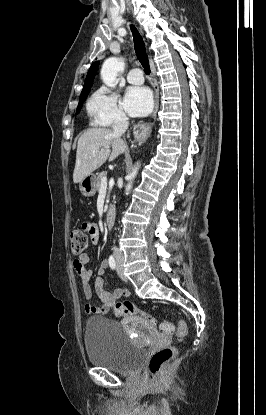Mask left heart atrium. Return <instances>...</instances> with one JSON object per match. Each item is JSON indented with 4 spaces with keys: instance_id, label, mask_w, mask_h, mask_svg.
<instances>
[{
    "instance_id": "obj_1",
    "label": "left heart atrium",
    "mask_w": 266,
    "mask_h": 415,
    "mask_svg": "<svg viewBox=\"0 0 266 415\" xmlns=\"http://www.w3.org/2000/svg\"><path fill=\"white\" fill-rule=\"evenodd\" d=\"M152 94L145 87H132L126 92L123 106L132 116H143L152 108Z\"/></svg>"
}]
</instances>
